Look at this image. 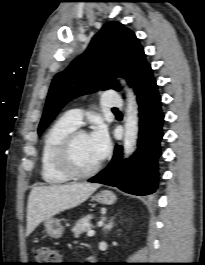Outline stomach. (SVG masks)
<instances>
[{"label":"stomach","instance_id":"0dacf381","mask_svg":"<svg viewBox=\"0 0 205 265\" xmlns=\"http://www.w3.org/2000/svg\"><path fill=\"white\" fill-rule=\"evenodd\" d=\"M95 201L106 204L112 205L116 201V196L109 190H103L97 193L94 197ZM45 231L47 234L52 238H60L63 234V226L61 225L60 221L56 218H49L44 221Z\"/></svg>","mask_w":205,"mask_h":265}]
</instances>
